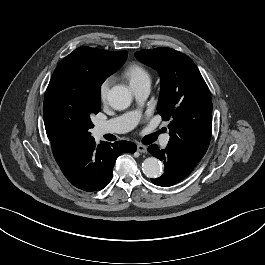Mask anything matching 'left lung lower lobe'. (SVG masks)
Wrapping results in <instances>:
<instances>
[{"mask_svg":"<svg viewBox=\"0 0 265 265\" xmlns=\"http://www.w3.org/2000/svg\"><path fill=\"white\" fill-rule=\"evenodd\" d=\"M148 151L163 161L165 166L162 176L151 180L155 185L163 187L172 186L180 182L193 170L188 168L168 147L159 150L157 145L153 144L148 147Z\"/></svg>","mask_w":265,"mask_h":265,"instance_id":"obj_1","label":"left lung lower lobe"}]
</instances>
